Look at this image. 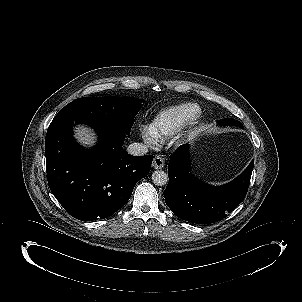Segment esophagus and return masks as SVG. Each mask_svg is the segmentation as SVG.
<instances>
[{"instance_id":"obj_1","label":"esophagus","mask_w":302,"mask_h":302,"mask_svg":"<svg viewBox=\"0 0 302 302\" xmlns=\"http://www.w3.org/2000/svg\"><path fill=\"white\" fill-rule=\"evenodd\" d=\"M164 165H165L164 159L161 156L156 155L153 159L152 166L155 169H162Z\"/></svg>"}]
</instances>
